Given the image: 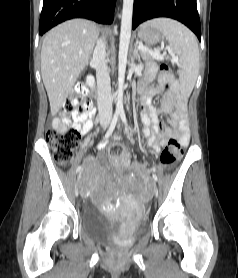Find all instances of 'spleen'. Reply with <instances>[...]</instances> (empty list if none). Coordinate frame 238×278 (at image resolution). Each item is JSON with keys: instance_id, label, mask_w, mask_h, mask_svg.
<instances>
[{"instance_id": "spleen-1", "label": "spleen", "mask_w": 238, "mask_h": 278, "mask_svg": "<svg viewBox=\"0 0 238 278\" xmlns=\"http://www.w3.org/2000/svg\"><path fill=\"white\" fill-rule=\"evenodd\" d=\"M146 24L158 28L163 33L168 41L169 52L179 58L181 88L185 95H190L199 71V48L196 36L183 24L169 18L153 19Z\"/></svg>"}]
</instances>
